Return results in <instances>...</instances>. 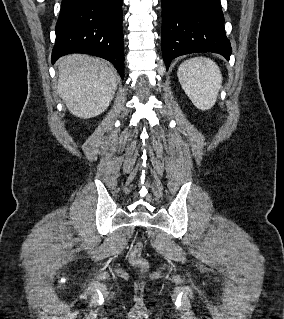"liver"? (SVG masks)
I'll return each instance as SVG.
<instances>
[{"label":"liver","instance_id":"6515ba94","mask_svg":"<svg viewBox=\"0 0 284 319\" xmlns=\"http://www.w3.org/2000/svg\"><path fill=\"white\" fill-rule=\"evenodd\" d=\"M58 93L69 111L88 119L104 112L117 89L118 75L103 59L71 54L58 62Z\"/></svg>","mask_w":284,"mask_h":319}]
</instances>
